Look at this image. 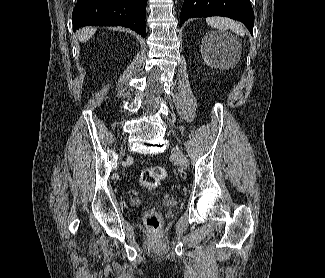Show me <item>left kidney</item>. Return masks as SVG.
I'll list each match as a JSON object with an SVG mask.
<instances>
[{
    "mask_svg": "<svg viewBox=\"0 0 325 278\" xmlns=\"http://www.w3.org/2000/svg\"><path fill=\"white\" fill-rule=\"evenodd\" d=\"M225 46H226L225 43H223V41L219 39L213 40L208 45V47H205V45L203 44V46L201 47V54L204 59V62L207 65H211V66L215 65L213 63L214 55L217 56L219 54V50L225 48Z\"/></svg>",
    "mask_w": 325,
    "mask_h": 278,
    "instance_id": "5707ae66",
    "label": "left kidney"
}]
</instances>
